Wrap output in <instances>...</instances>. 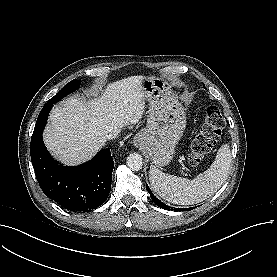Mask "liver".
Segmentation results:
<instances>
[{"instance_id": "1", "label": "liver", "mask_w": 277, "mask_h": 277, "mask_svg": "<svg viewBox=\"0 0 277 277\" xmlns=\"http://www.w3.org/2000/svg\"><path fill=\"white\" fill-rule=\"evenodd\" d=\"M143 76H131L107 85L98 97L84 101L72 96L55 106L43 132L52 155L73 166L91 159L111 131L136 124L143 115Z\"/></svg>"}]
</instances>
